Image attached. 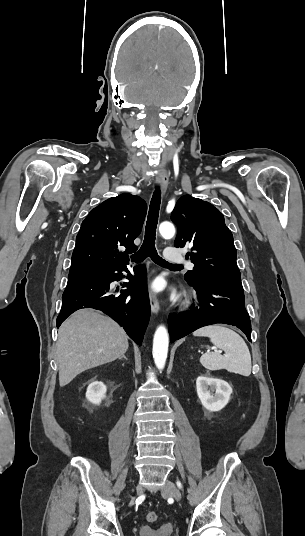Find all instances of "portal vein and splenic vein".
Instances as JSON below:
<instances>
[{"instance_id":"obj_1","label":"portal vein and splenic vein","mask_w":305,"mask_h":536,"mask_svg":"<svg viewBox=\"0 0 305 536\" xmlns=\"http://www.w3.org/2000/svg\"><path fill=\"white\" fill-rule=\"evenodd\" d=\"M215 352H218V354H221L222 350H215Z\"/></svg>"}]
</instances>
